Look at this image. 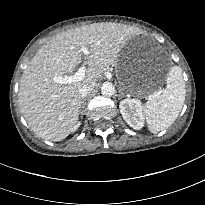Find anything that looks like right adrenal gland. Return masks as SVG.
<instances>
[{"label":"right adrenal gland","mask_w":205,"mask_h":205,"mask_svg":"<svg viewBox=\"0 0 205 205\" xmlns=\"http://www.w3.org/2000/svg\"><path fill=\"white\" fill-rule=\"evenodd\" d=\"M85 102H86V99H83L82 100V105H81V110H82V114H83V109H84V107H85Z\"/></svg>","instance_id":"2a0ac1e0"}]
</instances>
